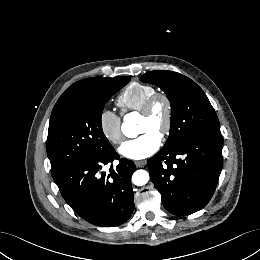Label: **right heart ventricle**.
Wrapping results in <instances>:
<instances>
[{"label": "right heart ventricle", "mask_w": 260, "mask_h": 260, "mask_svg": "<svg viewBox=\"0 0 260 260\" xmlns=\"http://www.w3.org/2000/svg\"><path fill=\"white\" fill-rule=\"evenodd\" d=\"M155 91L152 85L132 82L117 98L121 113L124 115L131 111H139L145 100Z\"/></svg>", "instance_id": "1"}]
</instances>
